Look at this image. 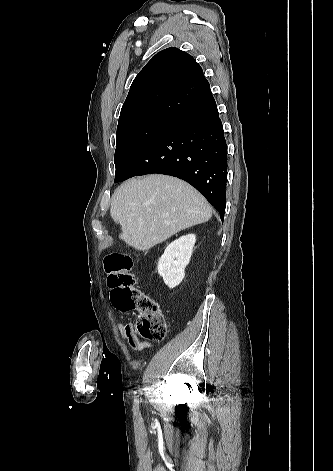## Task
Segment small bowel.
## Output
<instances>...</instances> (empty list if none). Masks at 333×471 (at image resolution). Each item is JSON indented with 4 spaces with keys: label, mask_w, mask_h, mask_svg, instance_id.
<instances>
[{
    "label": "small bowel",
    "mask_w": 333,
    "mask_h": 471,
    "mask_svg": "<svg viewBox=\"0 0 333 471\" xmlns=\"http://www.w3.org/2000/svg\"><path fill=\"white\" fill-rule=\"evenodd\" d=\"M117 329L122 339L126 340L128 344L130 345V347L136 351H141L143 349H147L152 346L150 342L143 341L138 337L131 323H127V324L118 323Z\"/></svg>",
    "instance_id": "small-bowel-1"
}]
</instances>
